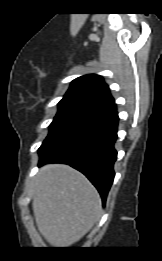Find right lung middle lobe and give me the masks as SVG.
Segmentation results:
<instances>
[{"label":"right lung middle lobe","mask_w":162,"mask_h":261,"mask_svg":"<svg viewBox=\"0 0 162 261\" xmlns=\"http://www.w3.org/2000/svg\"><path fill=\"white\" fill-rule=\"evenodd\" d=\"M104 108L102 103L86 96L66 94L58 104V113L50 125L46 139L70 123Z\"/></svg>","instance_id":"right-lung-middle-lobe-1"}]
</instances>
